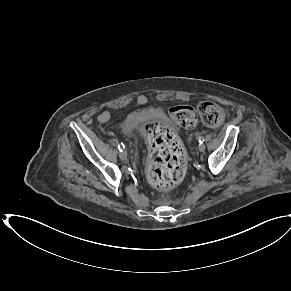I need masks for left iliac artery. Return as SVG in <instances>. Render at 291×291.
<instances>
[{
  "label": "left iliac artery",
  "instance_id": "left-iliac-artery-1",
  "mask_svg": "<svg viewBox=\"0 0 291 291\" xmlns=\"http://www.w3.org/2000/svg\"><path fill=\"white\" fill-rule=\"evenodd\" d=\"M204 140H205V139H204V137H202V136H201V137H199V143H200V144H201V143H203V142H204Z\"/></svg>",
  "mask_w": 291,
  "mask_h": 291
}]
</instances>
